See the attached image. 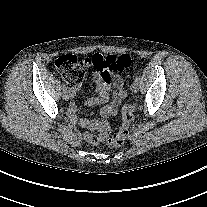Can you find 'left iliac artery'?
Returning a JSON list of instances; mask_svg holds the SVG:
<instances>
[{
  "label": "left iliac artery",
  "instance_id": "left-iliac-artery-1",
  "mask_svg": "<svg viewBox=\"0 0 207 207\" xmlns=\"http://www.w3.org/2000/svg\"><path fill=\"white\" fill-rule=\"evenodd\" d=\"M139 80H140V76H136L135 77V82H139Z\"/></svg>",
  "mask_w": 207,
  "mask_h": 207
}]
</instances>
